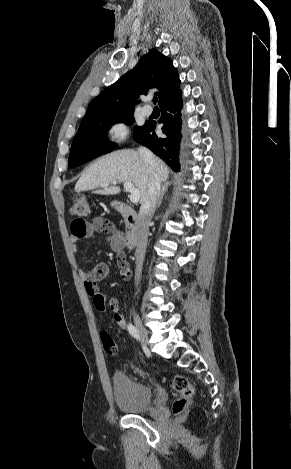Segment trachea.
I'll list each match as a JSON object with an SVG mask.
<instances>
[{
  "label": "trachea",
  "mask_w": 291,
  "mask_h": 469,
  "mask_svg": "<svg viewBox=\"0 0 291 469\" xmlns=\"http://www.w3.org/2000/svg\"><path fill=\"white\" fill-rule=\"evenodd\" d=\"M157 101H158V98H157V97H154V98H153V103L156 104Z\"/></svg>",
  "instance_id": "obj_1"
}]
</instances>
